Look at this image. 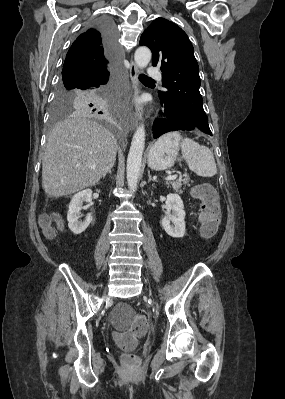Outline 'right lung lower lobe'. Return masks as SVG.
I'll use <instances>...</instances> for the list:
<instances>
[{
	"label": "right lung lower lobe",
	"mask_w": 285,
	"mask_h": 399,
	"mask_svg": "<svg viewBox=\"0 0 285 399\" xmlns=\"http://www.w3.org/2000/svg\"><path fill=\"white\" fill-rule=\"evenodd\" d=\"M102 34L107 55V63L103 67L83 64L65 71L62 74L63 83H72L77 87L99 94L108 88L113 80L114 58L116 53V29L112 21L103 19L94 25ZM88 105L93 110H99L104 105L101 100H90Z\"/></svg>",
	"instance_id": "obj_1"
}]
</instances>
